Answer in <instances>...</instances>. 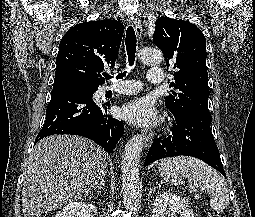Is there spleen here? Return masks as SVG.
I'll return each instance as SVG.
<instances>
[{
  "label": "spleen",
  "instance_id": "3e777b00",
  "mask_svg": "<svg viewBox=\"0 0 255 217\" xmlns=\"http://www.w3.org/2000/svg\"><path fill=\"white\" fill-rule=\"evenodd\" d=\"M158 169L162 178L172 184H183L187 179L190 185L206 189L212 209L227 208L229 189L224 178L201 160L188 156L165 158L159 162Z\"/></svg>",
  "mask_w": 255,
  "mask_h": 217
}]
</instances>
